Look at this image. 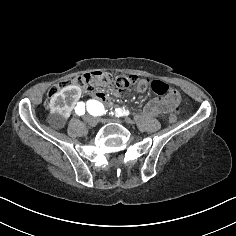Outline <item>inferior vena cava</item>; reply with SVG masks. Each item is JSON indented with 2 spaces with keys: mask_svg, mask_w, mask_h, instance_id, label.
I'll return each mask as SVG.
<instances>
[{
  "mask_svg": "<svg viewBox=\"0 0 236 236\" xmlns=\"http://www.w3.org/2000/svg\"><path fill=\"white\" fill-rule=\"evenodd\" d=\"M88 125H96L98 123L97 117L83 116L82 117Z\"/></svg>",
  "mask_w": 236,
  "mask_h": 236,
  "instance_id": "inferior-vena-cava-1",
  "label": "inferior vena cava"
}]
</instances>
